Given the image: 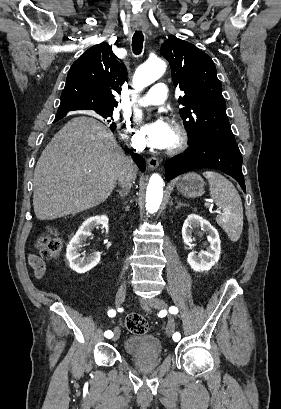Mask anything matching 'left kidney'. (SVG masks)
I'll use <instances>...</instances> for the list:
<instances>
[{
	"mask_svg": "<svg viewBox=\"0 0 281 409\" xmlns=\"http://www.w3.org/2000/svg\"><path fill=\"white\" fill-rule=\"evenodd\" d=\"M196 227H201V229L206 231L209 247H207V251H201L199 255H196L193 251L189 253L187 263H189L193 271H210L211 267L216 265L220 259L221 241L219 233L210 225L209 221H206V219H203L200 215H194V213H192V215H188L182 227V239L185 245H191L192 229H196Z\"/></svg>",
	"mask_w": 281,
	"mask_h": 409,
	"instance_id": "left-kidney-1",
	"label": "left kidney"
}]
</instances>
